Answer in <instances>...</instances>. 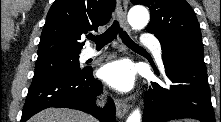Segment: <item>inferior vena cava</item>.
<instances>
[{
    "instance_id": "1",
    "label": "inferior vena cava",
    "mask_w": 221,
    "mask_h": 122,
    "mask_svg": "<svg viewBox=\"0 0 221 122\" xmlns=\"http://www.w3.org/2000/svg\"><path fill=\"white\" fill-rule=\"evenodd\" d=\"M105 102H106V98L104 96H101L100 100H98L97 104H98V106H104Z\"/></svg>"
}]
</instances>
